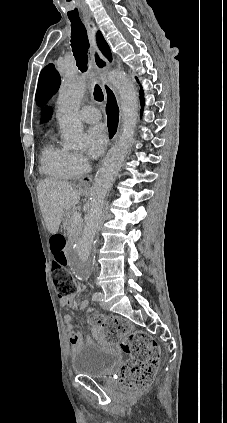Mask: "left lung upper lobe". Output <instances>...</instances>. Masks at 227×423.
Returning <instances> with one entry per match:
<instances>
[{
  "label": "left lung upper lobe",
  "mask_w": 227,
  "mask_h": 423,
  "mask_svg": "<svg viewBox=\"0 0 227 423\" xmlns=\"http://www.w3.org/2000/svg\"><path fill=\"white\" fill-rule=\"evenodd\" d=\"M45 115H46V118H50V117H51V115H52V111H51V109H50V108H47V109H46V111H45Z\"/></svg>",
  "instance_id": "5c2ea615"
}]
</instances>
